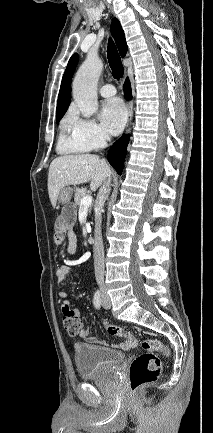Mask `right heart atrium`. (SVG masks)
<instances>
[{"label": "right heart atrium", "instance_id": "right-heart-atrium-1", "mask_svg": "<svg viewBox=\"0 0 213 433\" xmlns=\"http://www.w3.org/2000/svg\"><path fill=\"white\" fill-rule=\"evenodd\" d=\"M68 121L73 135L91 150H97L106 145L108 135L94 119L81 118L72 113Z\"/></svg>", "mask_w": 213, "mask_h": 433}]
</instances>
